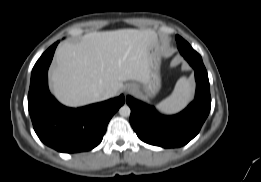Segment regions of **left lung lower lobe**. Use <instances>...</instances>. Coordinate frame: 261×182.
I'll use <instances>...</instances> for the list:
<instances>
[{
    "label": "left lung lower lobe",
    "instance_id": "left-lung-lower-lobe-1",
    "mask_svg": "<svg viewBox=\"0 0 261 182\" xmlns=\"http://www.w3.org/2000/svg\"><path fill=\"white\" fill-rule=\"evenodd\" d=\"M184 58L193 67L196 80L195 99L182 112L164 116L154 107L130 96L126 98L131 108L130 123L137 136L144 142L163 148L181 147L200 131L210 108L209 79L199 54H185Z\"/></svg>",
    "mask_w": 261,
    "mask_h": 182
}]
</instances>
